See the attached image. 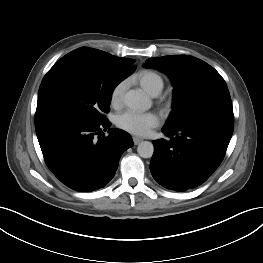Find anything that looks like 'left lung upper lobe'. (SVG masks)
<instances>
[{"mask_svg":"<svg viewBox=\"0 0 263 263\" xmlns=\"http://www.w3.org/2000/svg\"><path fill=\"white\" fill-rule=\"evenodd\" d=\"M145 66L165 73L174 85L173 110L166 126L190 122L212 113L233 116L227 85L206 62L191 56L173 55L149 58Z\"/></svg>","mask_w":263,"mask_h":263,"instance_id":"1","label":"left lung upper lobe"}]
</instances>
